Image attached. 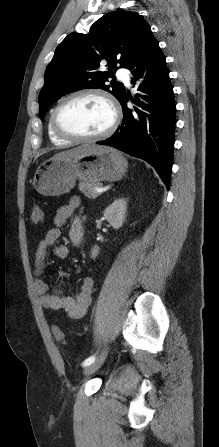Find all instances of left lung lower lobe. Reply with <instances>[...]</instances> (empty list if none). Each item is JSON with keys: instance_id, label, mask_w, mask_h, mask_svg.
<instances>
[{"instance_id": "0a47b994", "label": "left lung lower lobe", "mask_w": 219, "mask_h": 447, "mask_svg": "<svg viewBox=\"0 0 219 447\" xmlns=\"http://www.w3.org/2000/svg\"><path fill=\"white\" fill-rule=\"evenodd\" d=\"M125 68L131 70L134 76L132 83L143 79L138 90L149 95L140 96L149 102L150 105L145 109L151 114L143 113L136 107L134 110L129 109L127 102L131 97L125 92L120 101L123 109L122 125L110 138L97 144L112 146L145 160L156 169L169 189L176 107L165 56L152 34ZM134 103L140 106V99L137 97Z\"/></svg>"}]
</instances>
